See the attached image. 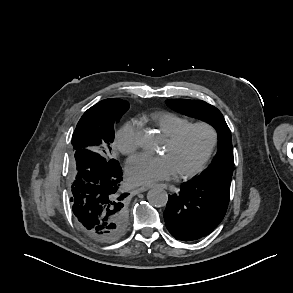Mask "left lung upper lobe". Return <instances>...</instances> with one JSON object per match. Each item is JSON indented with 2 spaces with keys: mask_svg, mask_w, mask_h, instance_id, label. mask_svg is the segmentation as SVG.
I'll return each instance as SVG.
<instances>
[{
  "mask_svg": "<svg viewBox=\"0 0 293 293\" xmlns=\"http://www.w3.org/2000/svg\"><path fill=\"white\" fill-rule=\"evenodd\" d=\"M167 105L173 110L211 124L218 134V152L208 169L197 178L207 180H231L234 168V157L230 129L221 114L214 106L200 100L169 99Z\"/></svg>",
  "mask_w": 293,
  "mask_h": 293,
  "instance_id": "1",
  "label": "left lung upper lobe"
}]
</instances>
